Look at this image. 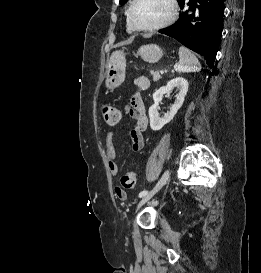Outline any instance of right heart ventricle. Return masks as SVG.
Masks as SVG:
<instances>
[{"label": "right heart ventricle", "mask_w": 261, "mask_h": 273, "mask_svg": "<svg viewBox=\"0 0 261 273\" xmlns=\"http://www.w3.org/2000/svg\"><path fill=\"white\" fill-rule=\"evenodd\" d=\"M128 30H129V31H133V30L129 27V25H128Z\"/></svg>", "instance_id": "obj_1"}]
</instances>
